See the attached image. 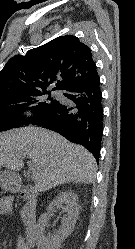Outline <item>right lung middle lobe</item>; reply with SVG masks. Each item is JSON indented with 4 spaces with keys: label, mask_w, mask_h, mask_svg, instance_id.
<instances>
[{
    "label": "right lung middle lobe",
    "mask_w": 135,
    "mask_h": 249,
    "mask_svg": "<svg viewBox=\"0 0 135 249\" xmlns=\"http://www.w3.org/2000/svg\"><path fill=\"white\" fill-rule=\"evenodd\" d=\"M50 93V91H36L0 98V132L29 124L30 120H24L23 110H31L36 117L53 107L57 100L45 96Z\"/></svg>",
    "instance_id": "right-lung-middle-lobe-1"
}]
</instances>
